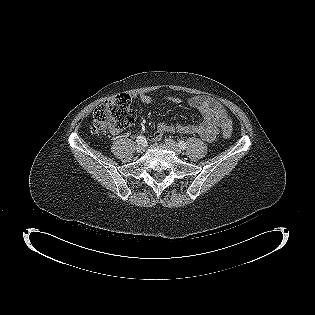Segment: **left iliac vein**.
I'll use <instances>...</instances> for the list:
<instances>
[{
  "mask_svg": "<svg viewBox=\"0 0 315 315\" xmlns=\"http://www.w3.org/2000/svg\"><path fill=\"white\" fill-rule=\"evenodd\" d=\"M165 144L168 148H170L171 150H173L176 154H180L181 153V148L179 147V145L172 139H165Z\"/></svg>",
  "mask_w": 315,
  "mask_h": 315,
  "instance_id": "obj_1",
  "label": "left iliac vein"
}]
</instances>
